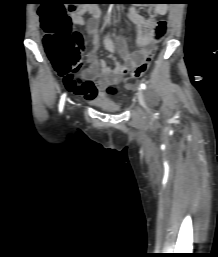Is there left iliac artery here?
<instances>
[{
    "mask_svg": "<svg viewBox=\"0 0 218 257\" xmlns=\"http://www.w3.org/2000/svg\"><path fill=\"white\" fill-rule=\"evenodd\" d=\"M140 86H141L142 89H144V90L146 89V84L145 83H141Z\"/></svg>",
    "mask_w": 218,
    "mask_h": 257,
    "instance_id": "1",
    "label": "left iliac artery"
}]
</instances>
